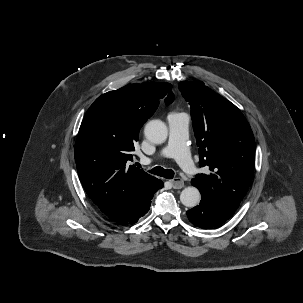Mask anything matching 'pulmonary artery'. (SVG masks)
Wrapping results in <instances>:
<instances>
[{"label":"pulmonary artery","mask_w":303,"mask_h":303,"mask_svg":"<svg viewBox=\"0 0 303 303\" xmlns=\"http://www.w3.org/2000/svg\"><path fill=\"white\" fill-rule=\"evenodd\" d=\"M167 122L169 139L160 152L161 156L173 158L185 172L195 173L196 167L187 146L189 117L183 113H171L167 117Z\"/></svg>","instance_id":"pulmonary-artery-1"}]
</instances>
